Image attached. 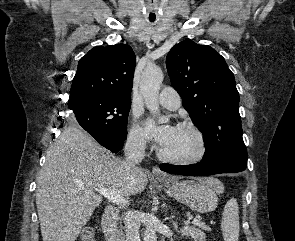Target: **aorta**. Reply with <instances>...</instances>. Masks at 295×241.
<instances>
[{
    "label": "aorta",
    "instance_id": "obj_1",
    "mask_svg": "<svg viewBox=\"0 0 295 241\" xmlns=\"http://www.w3.org/2000/svg\"><path fill=\"white\" fill-rule=\"evenodd\" d=\"M164 75L162 69L156 65H150L144 70L140 81V92L144 97L148 110L159 116V122H168L165 116L160 117L158 94ZM144 241H157L156 228L150 223L144 231Z\"/></svg>",
    "mask_w": 295,
    "mask_h": 241
}]
</instances>
